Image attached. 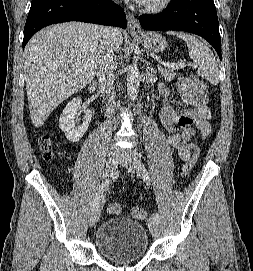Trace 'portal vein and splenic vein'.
I'll use <instances>...</instances> for the list:
<instances>
[{
	"instance_id": "1",
	"label": "portal vein and splenic vein",
	"mask_w": 253,
	"mask_h": 271,
	"mask_svg": "<svg viewBox=\"0 0 253 271\" xmlns=\"http://www.w3.org/2000/svg\"><path fill=\"white\" fill-rule=\"evenodd\" d=\"M162 65L166 66V67H170L172 69H182L186 66L185 63H169V62H160Z\"/></svg>"
}]
</instances>
